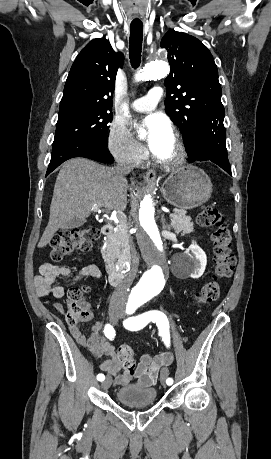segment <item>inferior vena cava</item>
Here are the masks:
<instances>
[{"mask_svg": "<svg viewBox=\"0 0 271 459\" xmlns=\"http://www.w3.org/2000/svg\"><path fill=\"white\" fill-rule=\"evenodd\" d=\"M133 170L132 166L130 164H119L117 168H115L116 174H120V176H125V174H129ZM132 275L130 273H127V277H125L124 281L122 283H119V285H116L111 301H115V299H126L127 297V289H129L131 285V279Z\"/></svg>", "mask_w": 271, "mask_h": 459, "instance_id": "602c4592", "label": "inferior vena cava"}]
</instances>
